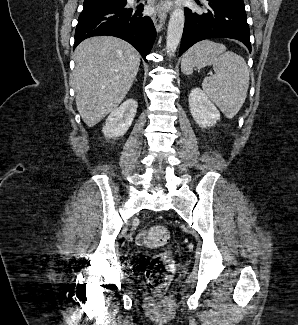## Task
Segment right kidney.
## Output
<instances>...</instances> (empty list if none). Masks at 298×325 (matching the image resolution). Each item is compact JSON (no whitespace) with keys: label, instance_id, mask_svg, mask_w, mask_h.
Returning <instances> with one entry per match:
<instances>
[{"label":"right kidney","instance_id":"ca27d5eb","mask_svg":"<svg viewBox=\"0 0 298 325\" xmlns=\"http://www.w3.org/2000/svg\"><path fill=\"white\" fill-rule=\"evenodd\" d=\"M137 100L127 98L118 108H114L106 118V124L102 126V132L106 138L123 136L131 126L137 112Z\"/></svg>","mask_w":298,"mask_h":325}]
</instances>
